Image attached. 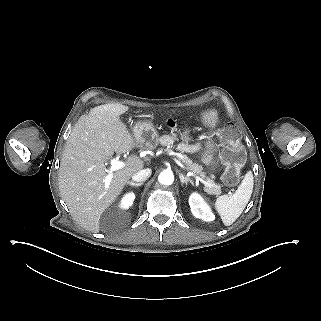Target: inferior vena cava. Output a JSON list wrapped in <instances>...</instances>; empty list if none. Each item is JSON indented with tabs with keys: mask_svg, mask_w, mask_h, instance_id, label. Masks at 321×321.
I'll use <instances>...</instances> for the list:
<instances>
[{
	"mask_svg": "<svg viewBox=\"0 0 321 321\" xmlns=\"http://www.w3.org/2000/svg\"><path fill=\"white\" fill-rule=\"evenodd\" d=\"M152 174V170L149 168L146 169H142L139 172H137L136 174H134L132 176L133 181L135 182H144L146 181Z\"/></svg>",
	"mask_w": 321,
	"mask_h": 321,
	"instance_id": "602c4592",
	"label": "inferior vena cava"
}]
</instances>
